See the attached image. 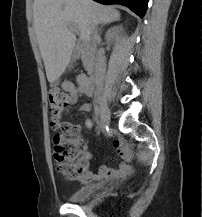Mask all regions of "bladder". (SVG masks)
I'll return each instance as SVG.
<instances>
[{"label": "bladder", "mask_w": 202, "mask_h": 217, "mask_svg": "<svg viewBox=\"0 0 202 217\" xmlns=\"http://www.w3.org/2000/svg\"><path fill=\"white\" fill-rule=\"evenodd\" d=\"M94 189L95 186L91 183L80 186L68 196V200L74 203L83 202L93 194Z\"/></svg>", "instance_id": "obj_1"}]
</instances>
